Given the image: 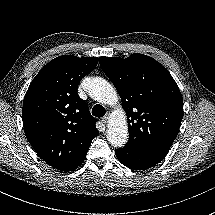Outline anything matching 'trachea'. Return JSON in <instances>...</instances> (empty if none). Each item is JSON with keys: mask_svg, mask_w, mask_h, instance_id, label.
I'll use <instances>...</instances> for the list:
<instances>
[{"mask_svg": "<svg viewBox=\"0 0 215 215\" xmlns=\"http://www.w3.org/2000/svg\"><path fill=\"white\" fill-rule=\"evenodd\" d=\"M106 113V110L105 108L100 105V104H96L93 108H92V114L95 116V117H103Z\"/></svg>", "mask_w": 215, "mask_h": 215, "instance_id": "obj_1", "label": "trachea"}]
</instances>
